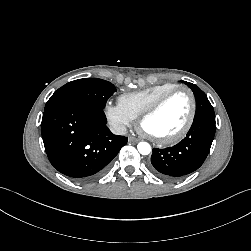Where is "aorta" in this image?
I'll list each match as a JSON object with an SVG mask.
<instances>
[{
  "label": "aorta",
  "instance_id": "aorta-1",
  "mask_svg": "<svg viewBox=\"0 0 251 251\" xmlns=\"http://www.w3.org/2000/svg\"><path fill=\"white\" fill-rule=\"evenodd\" d=\"M137 149H138L139 153L142 155H148L151 152V146L147 142L138 143Z\"/></svg>",
  "mask_w": 251,
  "mask_h": 251
}]
</instances>
